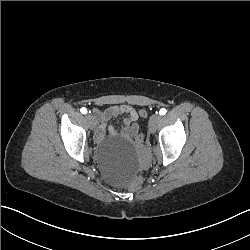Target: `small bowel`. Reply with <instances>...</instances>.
<instances>
[{"instance_id": "c3829d8e", "label": "small bowel", "mask_w": 250, "mask_h": 250, "mask_svg": "<svg viewBox=\"0 0 250 250\" xmlns=\"http://www.w3.org/2000/svg\"><path fill=\"white\" fill-rule=\"evenodd\" d=\"M121 114H126L127 118L124 120L123 127L118 129L115 126H109L108 131L111 135H121L125 138H134L138 136L139 126L135 122L138 115L137 109L132 105H120V106H110L103 113L96 112L99 119V126L95 132V139L100 141L104 138L107 130V121L111 117H115Z\"/></svg>"}]
</instances>
